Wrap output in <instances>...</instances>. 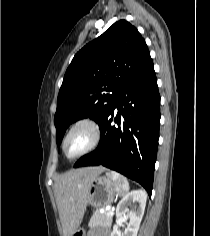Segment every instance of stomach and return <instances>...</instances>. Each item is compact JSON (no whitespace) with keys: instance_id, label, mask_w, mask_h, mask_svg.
I'll return each mask as SVG.
<instances>
[{"instance_id":"0dacf381","label":"stomach","mask_w":210,"mask_h":236,"mask_svg":"<svg viewBox=\"0 0 210 236\" xmlns=\"http://www.w3.org/2000/svg\"><path fill=\"white\" fill-rule=\"evenodd\" d=\"M117 186L116 182L109 176L95 178L89 187L87 204L96 209L111 205L114 199ZM72 236H86L84 229H77Z\"/></svg>"}]
</instances>
